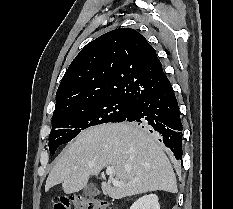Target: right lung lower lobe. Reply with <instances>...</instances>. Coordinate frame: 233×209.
Instances as JSON below:
<instances>
[{"label":"right lung lower lobe","mask_w":233,"mask_h":209,"mask_svg":"<svg viewBox=\"0 0 233 209\" xmlns=\"http://www.w3.org/2000/svg\"><path fill=\"white\" fill-rule=\"evenodd\" d=\"M124 121L141 124L153 132L177 160H182V123L169 81L156 92L137 99Z\"/></svg>","instance_id":"98d812e1"}]
</instances>
